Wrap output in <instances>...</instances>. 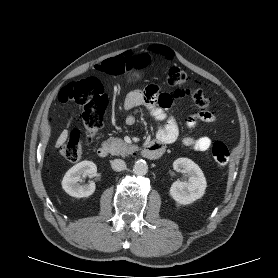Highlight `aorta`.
Returning <instances> with one entry per match:
<instances>
[{
	"label": "aorta",
	"mask_w": 278,
	"mask_h": 278,
	"mask_svg": "<svg viewBox=\"0 0 278 278\" xmlns=\"http://www.w3.org/2000/svg\"><path fill=\"white\" fill-rule=\"evenodd\" d=\"M133 171L137 175H145V174H147V172H148V165H147L146 161L142 160V159L137 160L134 163Z\"/></svg>",
	"instance_id": "obj_1"
}]
</instances>
